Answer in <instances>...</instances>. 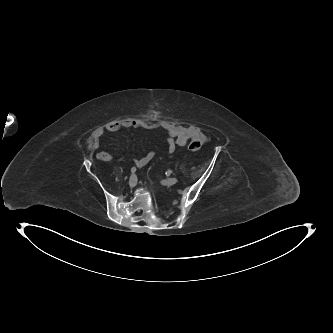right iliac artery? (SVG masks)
<instances>
[{"mask_svg": "<svg viewBox=\"0 0 333 333\" xmlns=\"http://www.w3.org/2000/svg\"><path fill=\"white\" fill-rule=\"evenodd\" d=\"M135 172H136V167H132V168H131V173L134 174Z\"/></svg>", "mask_w": 333, "mask_h": 333, "instance_id": "1", "label": "right iliac artery"}]
</instances>
